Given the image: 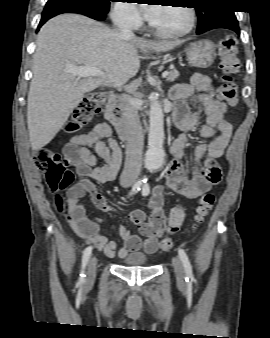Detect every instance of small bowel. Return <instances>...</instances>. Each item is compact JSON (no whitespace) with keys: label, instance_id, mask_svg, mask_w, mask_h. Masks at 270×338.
<instances>
[{"label":"small bowel","instance_id":"small-bowel-1","mask_svg":"<svg viewBox=\"0 0 270 338\" xmlns=\"http://www.w3.org/2000/svg\"><path fill=\"white\" fill-rule=\"evenodd\" d=\"M171 99L177 107L172 121L183 133L171 145L174 160L167 170L166 183L174 192L188 199H196L208 193L221 177L220 172L200 168L198 162H209L222 157L229 146L233 129L224 119L227 106L217 98L211 79L206 75L194 74L188 83L175 85L171 91ZM189 101L202 108L203 117L199 112L186 115L180 110ZM202 120L205 121L199 130L202 141L194 149L191 178L187 179V170L181 162L185 156L187 134L195 130ZM217 132L219 134L215 136ZM112 134L111 125L104 121L96 124L89 133L75 135L66 143L64 159L73 164L80 180L67 190L65 197L56 196L55 202L67 215L71 228L106 257L113 258L127 252L139 251L153 254L157 250L158 238L165 221L162 210L163 189L160 185L153 188V198L148 205V219H145V213L139 209L129 211L126 216L139 225L144 241L123 225L119 226V233L124 245L119 246L116 241L108 240L101 234L100 219L92 218L83 206V198L89 195L99 209L111 210L109 202L97 190L93 181H111L118 172L121 152ZM209 139L210 142L206 143ZM98 159L104 162L102 166H97Z\"/></svg>","mask_w":270,"mask_h":338}]
</instances>
